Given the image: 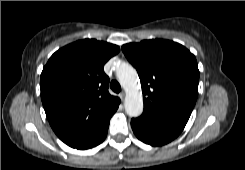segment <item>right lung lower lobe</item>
I'll use <instances>...</instances> for the list:
<instances>
[{
  "instance_id": "right-lung-lower-lobe-1",
  "label": "right lung lower lobe",
  "mask_w": 245,
  "mask_h": 170,
  "mask_svg": "<svg viewBox=\"0 0 245 170\" xmlns=\"http://www.w3.org/2000/svg\"><path fill=\"white\" fill-rule=\"evenodd\" d=\"M110 119L105 123V125L95 134L90 140L86 141L85 143L81 144L80 146L76 147L77 149H88L94 146H97L102 141H104L108 127H109Z\"/></svg>"
}]
</instances>
